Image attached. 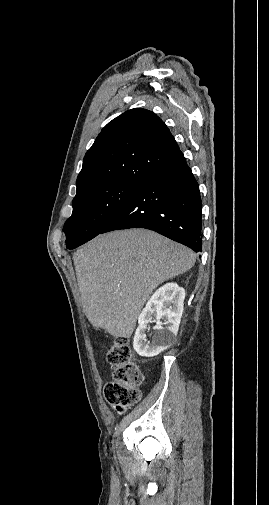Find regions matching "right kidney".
<instances>
[{"label": "right kidney", "instance_id": "obj_1", "mask_svg": "<svg viewBox=\"0 0 269 505\" xmlns=\"http://www.w3.org/2000/svg\"><path fill=\"white\" fill-rule=\"evenodd\" d=\"M184 299L185 290L176 283H167L155 291L138 318L133 347L140 356L154 357L171 346L179 329ZM152 321L157 326L149 344L145 331Z\"/></svg>", "mask_w": 269, "mask_h": 505}]
</instances>
